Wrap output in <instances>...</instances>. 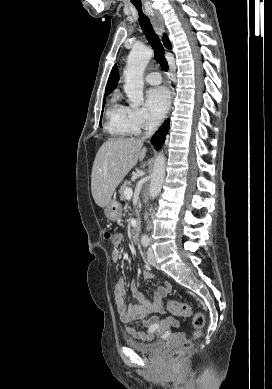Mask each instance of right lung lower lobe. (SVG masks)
I'll return each mask as SVG.
<instances>
[{"label":"right lung lower lobe","instance_id":"obj_1","mask_svg":"<svg viewBox=\"0 0 272 389\" xmlns=\"http://www.w3.org/2000/svg\"><path fill=\"white\" fill-rule=\"evenodd\" d=\"M168 130H169V121H165V123L158 129V131L151 138V143L153 144L156 150H159L162 147Z\"/></svg>","mask_w":272,"mask_h":389}]
</instances>
